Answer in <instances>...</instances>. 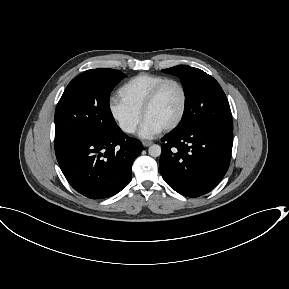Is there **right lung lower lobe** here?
Here are the masks:
<instances>
[{
    "label": "right lung lower lobe",
    "instance_id": "1",
    "mask_svg": "<svg viewBox=\"0 0 289 289\" xmlns=\"http://www.w3.org/2000/svg\"><path fill=\"white\" fill-rule=\"evenodd\" d=\"M142 149L139 140L117 127L77 139L55 153L63 174L77 192L104 199L130 183L132 164Z\"/></svg>",
    "mask_w": 289,
    "mask_h": 289
}]
</instances>
